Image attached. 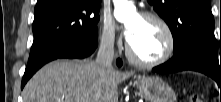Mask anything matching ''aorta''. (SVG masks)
<instances>
[{"label": "aorta", "instance_id": "aorta-1", "mask_svg": "<svg viewBox=\"0 0 221 102\" xmlns=\"http://www.w3.org/2000/svg\"><path fill=\"white\" fill-rule=\"evenodd\" d=\"M114 16L120 21H126L135 12V6L131 0H113Z\"/></svg>", "mask_w": 221, "mask_h": 102}]
</instances>
